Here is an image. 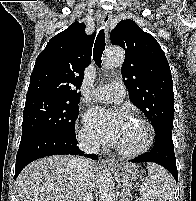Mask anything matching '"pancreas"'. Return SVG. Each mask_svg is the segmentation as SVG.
Here are the masks:
<instances>
[{"label":"pancreas","mask_w":196,"mask_h":201,"mask_svg":"<svg viewBox=\"0 0 196 201\" xmlns=\"http://www.w3.org/2000/svg\"><path fill=\"white\" fill-rule=\"evenodd\" d=\"M122 201H131V192L130 188H126V190L122 194Z\"/></svg>","instance_id":"cf45deb5"}]
</instances>
